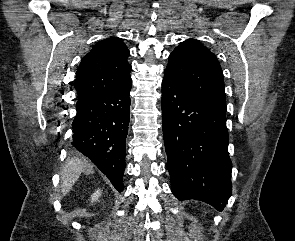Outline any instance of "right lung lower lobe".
<instances>
[{"label": "right lung lower lobe", "mask_w": 295, "mask_h": 241, "mask_svg": "<svg viewBox=\"0 0 295 241\" xmlns=\"http://www.w3.org/2000/svg\"><path fill=\"white\" fill-rule=\"evenodd\" d=\"M131 81L113 90L81 99L76 104L72 145L122 192L125 170V139L129 125Z\"/></svg>", "instance_id": "98d812e1"}]
</instances>
